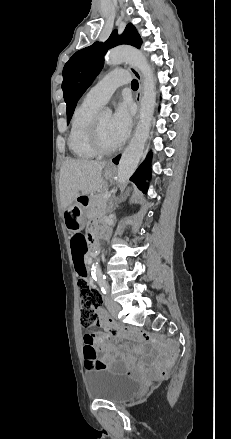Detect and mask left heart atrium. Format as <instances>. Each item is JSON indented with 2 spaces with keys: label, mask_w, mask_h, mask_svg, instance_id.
Listing matches in <instances>:
<instances>
[{
  "label": "left heart atrium",
  "mask_w": 231,
  "mask_h": 439,
  "mask_svg": "<svg viewBox=\"0 0 231 439\" xmlns=\"http://www.w3.org/2000/svg\"><path fill=\"white\" fill-rule=\"evenodd\" d=\"M132 127L130 107L126 102L118 104L111 117L110 129L117 145L122 144L128 137Z\"/></svg>",
  "instance_id": "1"
}]
</instances>
